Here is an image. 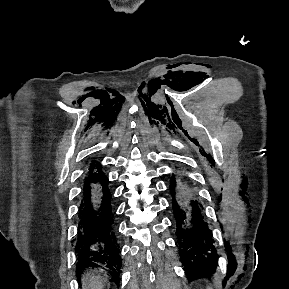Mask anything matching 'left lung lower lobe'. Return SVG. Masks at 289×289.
<instances>
[{"label":"left lung lower lobe","instance_id":"0a47b994","mask_svg":"<svg viewBox=\"0 0 289 289\" xmlns=\"http://www.w3.org/2000/svg\"><path fill=\"white\" fill-rule=\"evenodd\" d=\"M170 193L176 218L180 259L189 278L199 272L212 273L217 265L216 249L212 234L190 179L172 174Z\"/></svg>","mask_w":289,"mask_h":289}]
</instances>
